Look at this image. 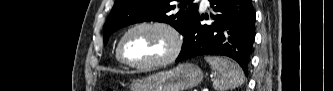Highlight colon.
<instances>
[{
  "label": "colon",
  "instance_id": "obj_1",
  "mask_svg": "<svg viewBox=\"0 0 333 91\" xmlns=\"http://www.w3.org/2000/svg\"><path fill=\"white\" fill-rule=\"evenodd\" d=\"M106 91H114V88L109 87V88L106 89Z\"/></svg>",
  "mask_w": 333,
  "mask_h": 91
}]
</instances>
